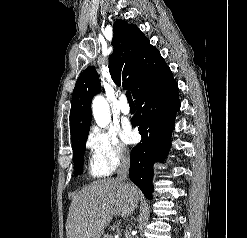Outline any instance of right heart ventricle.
Wrapping results in <instances>:
<instances>
[{"label": "right heart ventricle", "instance_id": "obj_1", "mask_svg": "<svg viewBox=\"0 0 247 238\" xmlns=\"http://www.w3.org/2000/svg\"><path fill=\"white\" fill-rule=\"evenodd\" d=\"M88 173L94 178L104 177L109 174L94 157H91L88 160Z\"/></svg>", "mask_w": 247, "mask_h": 238}]
</instances>
